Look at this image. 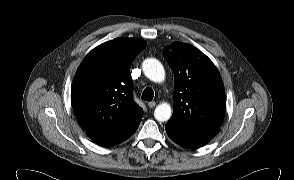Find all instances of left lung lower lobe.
I'll use <instances>...</instances> for the list:
<instances>
[{
  "label": "left lung lower lobe",
  "instance_id": "left-lung-lower-lobe-1",
  "mask_svg": "<svg viewBox=\"0 0 294 180\" xmlns=\"http://www.w3.org/2000/svg\"><path fill=\"white\" fill-rule=\"evenodd\" d=\"M168 136L177 144L185 148H199L208 143L219 129H188L169 120L165 125Z\"/></svg>",
  "mask_w": 294,
  "mask_h": 180
}]
</instances>
